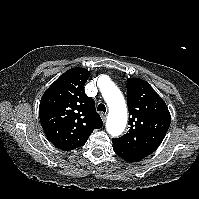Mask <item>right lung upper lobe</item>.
<instances>
[{"label":"right lung upper lobe","mask_w":199,"mask_h":199,"mask_svg":"<svg viewBox=\"0 0 199 199\" xmlns=\"http://www.w3.org/2000/svg\"><path fill=\"white\" fill-rule=\"evenodd\" d=\"M89 76L90 72L85 68H72L41 98V125L48 140L58 149L70 151L83 146L93 130L103 125L94 100L84 92Z\"/></svg>","instance_id":"obj_1"}]
</instances>
